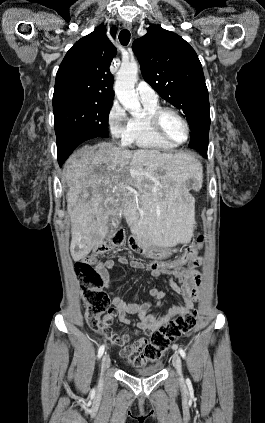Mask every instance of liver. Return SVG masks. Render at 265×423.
Returning <instances> with one entry per match:
<instances>
[{
  "instance_id": "6515ba94",
  "label": "liver",
  "mask_w": 265,
  "mask_h": 423,
  "mask_svg": "<svg viewBox=\"0 0 265 423\" xmlns=\"http://www.w3.org/2000/svg\"><path fill=\"white\" fill-rule=\"evenodd\" d=\"M63 175L69 188L66 199L74 261L103 243L110 217L119 213L138 242L168 248L187 244L193 236L195 212L186 183L201 184L203 173L192 154L130 151L102 142L74 152Z\"/></svg>"
}]
</instances>
